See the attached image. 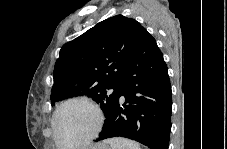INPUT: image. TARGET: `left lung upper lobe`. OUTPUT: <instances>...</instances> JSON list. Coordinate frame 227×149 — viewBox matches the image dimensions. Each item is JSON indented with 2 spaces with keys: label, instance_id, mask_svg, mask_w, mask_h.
<instances>
[{
  "label": "left lung upper lobe",
  "instance_id": "obj_1",
  "mask_svg": "<svg viewBox=\"0 0 227 149\" xmlns=\"http://www.w3.org/2000/svg\"><path fill=\"white\" fill-rule=\"evenodd\" d=\"M142 28L136 20L117 15L64 44L55 63L51 103L87 95L106 116L119 96Z\"/></svg>",
  "mask_w": 227,
  "mask_h": 149
}]
</instances>
